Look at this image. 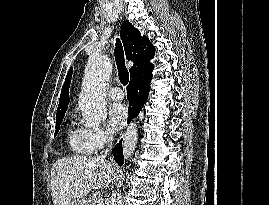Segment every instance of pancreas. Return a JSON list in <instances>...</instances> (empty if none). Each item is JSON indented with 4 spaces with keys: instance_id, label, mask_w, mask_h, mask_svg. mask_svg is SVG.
Returning a JSON list of instances; mask_svg holds the SVG:
<instances>
[{
    "instance_id": "obj_1",
    "label": "pancreas",
    "mask_w": 269,
    "mask_h": 205,
    "mask_svg": "<svg viewBox=\"0 0 269 205\" xmlns=\"http://www.w3.org/2000/svg\"><path fill=\"white\" fill-rule=\"evenodd\" d=\"M85 205H94L95 197L90 195L88 198H85Z\"/></svg>"
}]
</instances>
